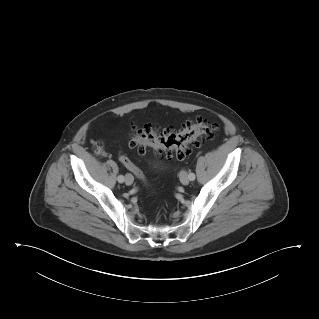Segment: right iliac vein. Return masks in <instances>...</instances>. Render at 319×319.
I'll list each match as a JSON object with an SVG mask.
<instances>
[{
    "mask_svg": "<svg viewBox=\"0 0 319 319\" xmlns=\"http://www.w3.org/2000/svg\"><path fill=\"white\" fill-rule=\"evenodd\" d=\"M134 182V178L131 174H127L126 177H125V183L126 185L130 186L132 185Z\"/></svg>",
    "mask_w": 319,
    "mask_h": 319,
    "instance_id": "1",
    "label": "right iliac vein"
}]
</instances>
